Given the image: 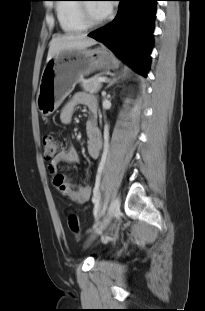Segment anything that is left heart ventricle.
Listing matches in <instances>:
<instances>
[{
    "mask_svg": "<svg viewBox=\"0 0 205 311\" xmlns=\"http://www.w3.org/2000/svg\"><path fill=\"white\" fill-rule=\"evenodd\" d=\"M88 5H89V12H90V16L92 20L98 21L104 17V15L99 10L97 3H88Z\"/></svg>",
    "mask_w": 205,
    "mask_h": 311,
    "instance_id": "obj_1",
    "label": "left heart ventricle"
}]
</instances>
